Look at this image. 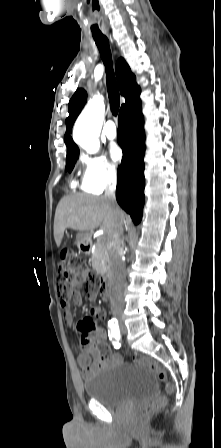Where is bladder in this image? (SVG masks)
I'll list each match as a JSON object with an SVG mask.
<instances>
[{
  "instance_id": "bladder-1",
  "label": "bladder",
  "mask_w": 221,
  "mask_h": 448,
  "mask_svg": "<svg viewBox=\"0 0 221 448\" xmlns=\"http://www.w3.org/2000/svg\"><path fill=\"white\" fill-rule=\"evenodd\" d=\"M83 387L89 399L106 407H118L152 397L155 379L146 368L116 361L85 379Z\"/></svg>"
}]
</instances>
